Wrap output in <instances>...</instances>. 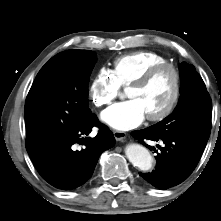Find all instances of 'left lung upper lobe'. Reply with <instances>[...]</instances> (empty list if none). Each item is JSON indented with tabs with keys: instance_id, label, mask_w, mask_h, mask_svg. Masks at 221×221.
Returning <instances> with one entry per match:
<instances>
[{
	"instance_id": "1",
	"label": "left lung upper lobe",
	"mask_w": 221,
	"mask_h": 221,
	"mask_svg": "<svg viewBox=\"0 0 221 221\" xmlns=\"http://www.w3.org/2000/svg\"><path fill=\"white\" fill-rule=\"evenodd\" d=\"M180 74L181 95L175 110L152 128L162 135H184L207 142L211 131V98L194 66L182 62Z\"/></svg>"
}]
</instances>
